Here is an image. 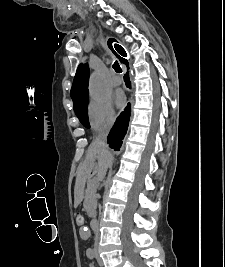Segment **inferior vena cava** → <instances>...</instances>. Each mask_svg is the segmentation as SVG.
I'll list each match as a JSON object with an SVG mask.
<instances>
[{
	"label": "inferior vena cava",
	"mask_w": 225,
	"mask_h": 267,
	"mask_svg": "<svg viewBox=\"0 0 225 267\" xmlns=\"http://www.w3.org/2000/svg\"><path fill=\"white\" fill-rule=\"evenodd\" d=\"M112 124H113V120H110L107 122V124L99 131L96 139H95V142L105 151V152H109L108 150V145H107V136L109 134V131L112 127ZM100 180L103 179V178H99ZM98 233H96V236H95V245L98 244Z\"/></svg>",
	"instance_id": "1"
}]
</instances>
